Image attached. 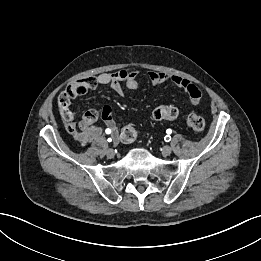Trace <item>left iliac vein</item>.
Listing matches in <instances>:
<instances>
[{
  "label": "left iliac vein",
  "mask_w": 261,
  "mask_h": 261,
  "mask_svg": "<svg viewBox=\"0 0 261 261\" xmlns=\"http://www.w3.org/2000/svg\"><path fill=\"white\" fill-rule=\"evenodd\" d=\"M171 152H172V148L170 146L166 145V146L163 147L162 154L164 156L170 155Z\"/></svg>",
  "instance_id": "left-iliac-vein-1"
}]
</instances>
